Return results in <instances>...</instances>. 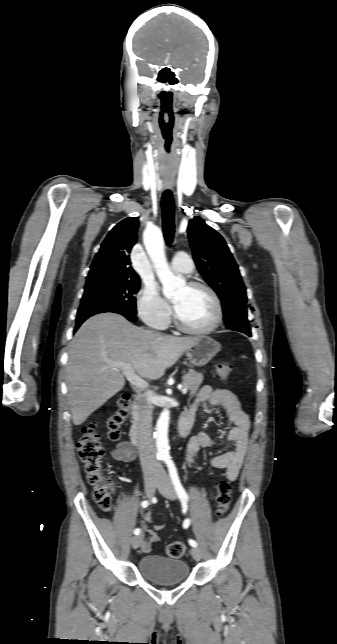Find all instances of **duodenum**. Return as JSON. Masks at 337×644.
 I'll return each instance as SVG.
<instances>
[{
    "label": "duodenum",
    "mask_w": 337,
    "mask_h": 644,
    "mask_svg": "<svg viewBox=\"0 0 337 644\" xmlns=\"http://www.w3.org/2000/svg\"><path fill=\"white\" fill-rule=\"evenodd\" d=\"M132 424L129 430L130 443L136 447L139 446L142 435V412L139 404L135 401L132 404ZM192 418L186 414H183L178 422V436L182 439L186 438L189 434Z\"/></svg>",
    "instance_id": "duodenum-1"
}]
</instances>
